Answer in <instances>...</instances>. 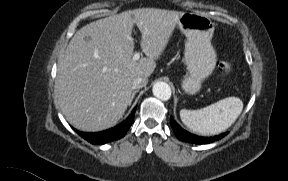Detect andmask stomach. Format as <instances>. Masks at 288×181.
Returning a JSON list of instances; mask_svg holds the SVG:
<instances>
[{
  "mask_svg": "<svg viewBox=\"0 0 288 181\" xmlns=\"http://www.w3.org/2000/svg\"><path fill=\"white\" fill-rule=\"evenodd\" d=\"M178 26L187 38L184 60L188 74L181 85L185 93L194 95L216 66L217 54L211 44L215 25L205 15L185 12L179 18Z\"/></svg>",
  "mask_w": 288,
  "mask_h": 181,
  "instance_id": "1",
  "label": "stomach"
}]
</instances>
